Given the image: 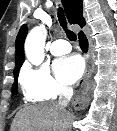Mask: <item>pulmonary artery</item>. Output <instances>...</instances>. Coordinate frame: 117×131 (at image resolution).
<instances>
[{"label":"pulmonary artery","instance_id":"e3ab8cb5","mask_svg":"<svg viewBox=\"0 0 117 131\" xmlns=\"http://www.w3.org/2000/svg\"><path fill=\"white\" fill-rule=\"evenodd\" d=\"M71 51L70 44L63 39L55 40L50 46V52L55 56H61Z\"/></svg>","mask_w":117,"mask_h":131}]
</instances>
